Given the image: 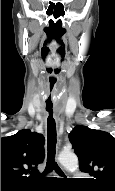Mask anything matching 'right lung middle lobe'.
<instances>
[{"mask_svg": "<svg viewBox=\"0 0 115 191\" xmlns=\"http://www.w3.org/2000/svg\"><path fill=\"white\" fill-rule=\"evenodd\" d=\"M15 190H17V189L1 187V191H15Z\"/></svg>", "mask_w": 115, "mask_h": 191, "instance_id": "obj_1", "label": "right lung middle lobe"}]
</instances>
